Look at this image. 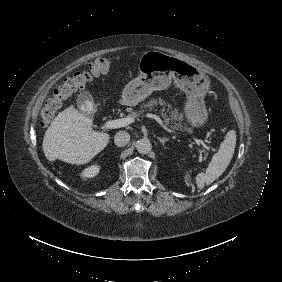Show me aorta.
<instances>
[{
  "label": "aorta",
  "instance_id": "aorta-1",
  "mask_svg": "<svg viewBox=\"0 0 282 282\" xmlns=\"http://www.w3.org/2000/svg\"><path fill=\"white\" fill-rule=\"evenodd\" d=\"M136 149L140 154H148L152 149V145L148 139L143 138L137 141Z\"/></svg>",
  "mask_w": 282,
  "mask_h": 282
}]
</instances>
